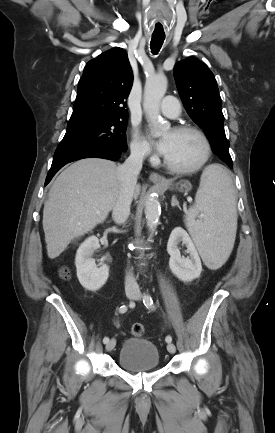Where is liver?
Segmentation results:
<instances>
[{"label":"liver","instance_id":"liver-1","mask_svg":"<svg viewBox=\"0 0 275 433\" xmlns=\"http://www.w3.org/2000/svg\"><path fill=\"white\" fill-rule=\"evenodd\" d=\"M120 189L118 166L107 159H81L62 171L51 186L43 210L48 257L55 259L73 239L103 223ZM139 193L140 185H136L135 199Z\"/></svg>","mask_w":275,"mask_h":433}]
</instances>
